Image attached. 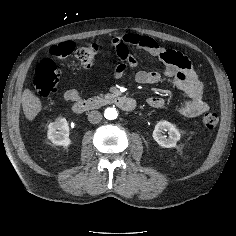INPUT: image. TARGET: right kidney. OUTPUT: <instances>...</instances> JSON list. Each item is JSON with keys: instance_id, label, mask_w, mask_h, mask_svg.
Instances as JSON below:
<instances>
[{"instance_id": "obj_1", "label": "right kidney", "mask_w": 236, "mask_h": 236, "mask_svg": "<svg viewBox=\"0 0 236 236\" xmlns=\"http://www.w3.org/2000/svg\"><path fill=\"white\" fill-rule=\"evenodd\" d=\"M48 139L56 146L67 148L71 144L69 126L65 118H57L48 125Z\"/></svg>"}]
</instances>
